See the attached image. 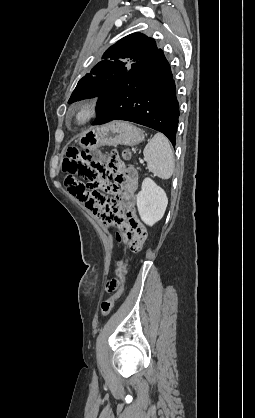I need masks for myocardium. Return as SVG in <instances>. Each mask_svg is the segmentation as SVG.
<instances>
[{
	"label": "myocardium",
	"mask_w": 255,
	"mask_h": 418,
	"mask_svg": "<svg viewBox=\"0 0 255 418\" xmlns=\"http://www.w3.org/2000/svg\"><path fill=\"white\" fill-rule=\"evenodd\" d=\"M99 115V103L96 99H86L76 104L69 115V120L77 127H84Z\"/></svg>",
	"instance_id": "myocardium-1"
}]
</instances>
